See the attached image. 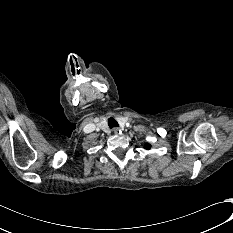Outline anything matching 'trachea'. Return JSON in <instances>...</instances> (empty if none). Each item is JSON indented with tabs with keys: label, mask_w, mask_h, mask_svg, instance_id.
<instances>
[{
	"label": "trachea",
	"mask_w": 233,
	"mask_h": 233,
	"mask_svg": "<svg viewBox=\"0 0 233 233\" xmlns=\"http://www.w3.org/2000/svg\"><path fill=\"white\" fill-rule=\"evenodd\" d=\"M108 125H109L110 128L119 126L117 121L115 119H113V118L108 119Z\"/></svg>",
	"instance_id": "3493384b"
}]
</instances>
